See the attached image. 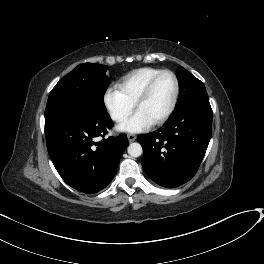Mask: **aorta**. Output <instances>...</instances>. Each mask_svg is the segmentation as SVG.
I'll return each instance as SVG.
<instances>
[{"label":"aorta","instance_id":"aorta-1","mask_svg":"<svg viewBox=\"0 0 264 264\" xmlns=\"http://www.w3.org/2000/svg\"><path fill=\"white\" fill-rule=\"evenodd\" d=\"M128 154L131 157H139L142 154V146L139 143H131L128 146Z\"/></svg>","mask_w":264,"mask_h":264}]
</instances>
